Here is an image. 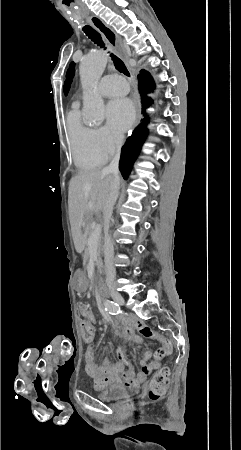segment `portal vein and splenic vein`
Instances as JSON below:
<instances>
[{
  "label": "portal vein and splenic vein",
  "mask_w": 241,
  "mask_h": 450,
  "mask_svg": "<svg viewBox=\"0 0 241 450\" xmlns=\"http://www.w3.org/2000/svg\"><path fill=\"white\" fill-rule=\"evenodd\" d=\"M101 232H102V226H100V224H97V226H94L93 232H91V236H90V238H88L89 244H91V242H97V240H99V238H100Z\"/></svg>",
  "instance_id": "obj_1"
}]
</instances>
